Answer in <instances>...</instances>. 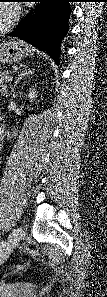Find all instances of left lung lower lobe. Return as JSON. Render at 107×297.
<instances>
[{
	"label": "left lung lower lobe",
	"mask_w": 107,
	"mask_h": 297,
	"mask_svg": "<svg viewBox=\"0 0 107 297\" xmlns=\"http://www.w3.org/2000/svg\"><path fill=\"white\" fill-rule=\"evenodd\" d=\"M42 4L30 12L9 33L33 46L46 51L56 63L59 62L60 45L68 31L72 0H34ZM35 13V14H34Z\"/></svg>",
	"instance_id": "0a47b994"
}]
</instances>
